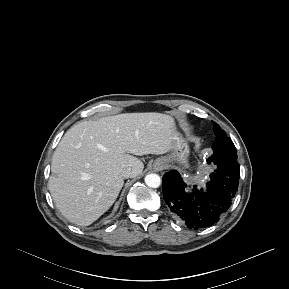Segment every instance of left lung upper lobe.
<instances>
[{
    "label": "left lung upper lobe",
    "instance_id": "1",
    "mask_svg": "<svg viewBox=\"0 0 289 289\" xmlns=\"http://www.w3.org/2000/svg\"><path fill=\"white\" fill-rule=\"evenodd\" d=\"M213 131L216 135V139L212 144L213 156L218 159L237 158L235 146L226 133L220 128V126L213 122Z\"/></svg>",
    "mask_w": 289,
    "mask_h": 289
}]
</instances>
